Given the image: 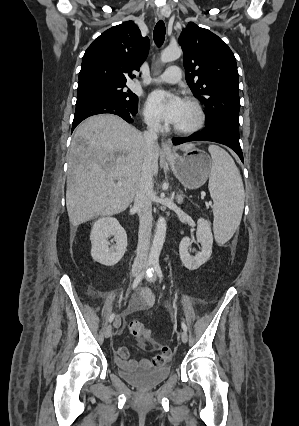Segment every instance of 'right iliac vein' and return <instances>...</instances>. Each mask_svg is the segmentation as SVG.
<instances>
[{
  "label": "right iliac vein",
  "mask_w": 299,
  "mask_h": 426,
  "mask_svg": "<svg viewBox=\"0 0 299 426\" xmlns=\"http://www.w3.org/2000/svg\"><path fill=\"white\" fill-rule=\"evenodd\" d=\"M141 269H142V265H137L134 269H133V275L134 276H137L138 274H139V272L141 271ZM112 335V325H108L106 328H105V337L106 338H109L110 336Z\"/></svg>",
  "instance_id": "63e3f726"
}]
</instances>
